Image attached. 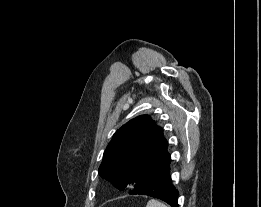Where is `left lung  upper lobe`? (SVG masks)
<instances>
[{"instance_id": "1", "label": "left lung upper lobe", "mask_w": 261, "mask_h": 207, "mask_svg": "<svg viewBox=\"0 0 261 207\" xmlns=\"http://www.w3.org/2000/svg\"><path fill=\"white\" fill-rule=\"evenodd\" d=\"M167 147L162 128L149 115L138 116L115 132L98 172L119 190L135 187L170 166Z\"/></svg>"}]
</instances>
